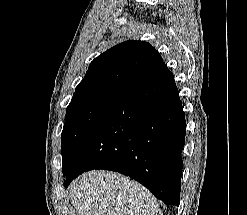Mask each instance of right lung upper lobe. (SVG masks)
<instances>
[{
  "label": "right lung upper lobe",
  "instance_id": "cb5924a9",
  "mask_svg": "<svg viewBox=\"0 0 247 215\" xmlns=\"http://www.w3.org/2000/svg\"><path fill=\"white\" fill-rule=\"evenodd\" d=\"M163 63L149 43L129 40L95 58L75 92L106 88L132 89Z\"/></svg>",
  "mask_w": 247,
  "mask_h": 215
}]
</instances>
